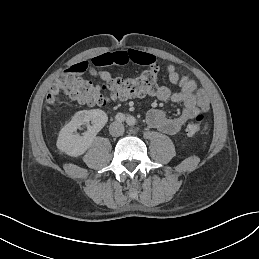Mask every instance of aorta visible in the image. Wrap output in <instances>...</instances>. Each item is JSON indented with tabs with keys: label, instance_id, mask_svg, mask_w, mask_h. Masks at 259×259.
<instances>
[{
	"label": "aorta",
	"instance_id": "1",
	"mask_svg": "<svg viewBox=\"0 0 259 259\" xmlns=\"http://www.w3.org/2000/svg\"><path fill=\"white\" fill-rule=\"evenodd\" d=\"M126 122H127L128 125H133L135 123V118L133 116H129L126 119Z\"/></svg>",
	"mask_w": 259,
	"mask_h": 259
}]
</instances>
